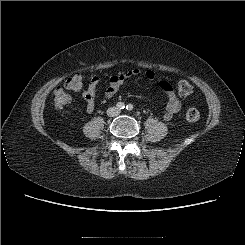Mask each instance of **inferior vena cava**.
<instances>
[{"mask_svg": "<svg viewBox=\"0 0 245 245\" xmlns=\"http://www.w3.org/2000/svg\"><path fill=\"white\" fill-rule=\"evenodd\" d=\"M120 114V109H118L117 107H110L107 110V115L110 117H115L118 116Z\"/></svg>", "mask_w": 245, "mask_h": 245, "instance_id": "602c4592", "label": "inferior vena cava"}]
</instances>
